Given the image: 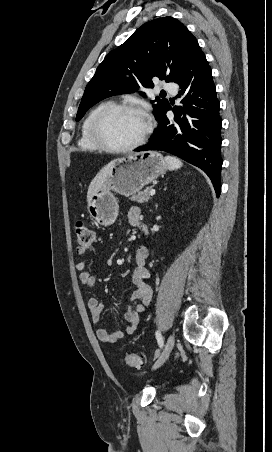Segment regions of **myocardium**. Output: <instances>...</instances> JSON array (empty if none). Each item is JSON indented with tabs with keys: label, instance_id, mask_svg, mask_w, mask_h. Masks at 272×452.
<instances>
[{
	"label": "myocardium",
	"instance_id": "obj_1",
	"mask_svg": "<svg viewBox=\"0 0 272 452\" xmlns=\"http://www.w3.org/2000/svg\"><path fill=\"white\" fill-rule=\"evenodd\" d=\"M116 110H125L129 112H133L136 114H139L143 117L145 126L142 134L139 136L138 139H136L134 142L123 145V146H116L111 144L106 140V138L103 135L102 129H101V123L105 115H107L109 112L116 111ZM90 135L93 139V141L102 149L108 152L112 153H123L132 151L139 146H141L148 138V136L151 133L152 130V124L150 122V119L148 116L137 106L127 104V103H106L102 105L93 115L91 121H90Z\"/></svg>",
	"mask_w": 272,
	"mask_h": 452
}]
</instances>
